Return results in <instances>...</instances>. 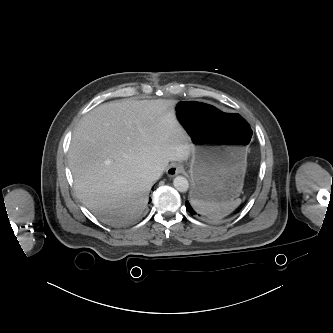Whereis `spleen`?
Segmentation results:
<instances>
[{
  "mask_svg": "<svg viewBox=\"0 0 333 333\" xmlns=\"http://www.w3.org/2000/svg\"><path fill=\"white\" fill-rule=\"evenodd\" d=\"M190 202L199 214L211 219H221L233 212L241 204L242 200L238 198L231 202L217 203L192 198Z\"/></svg>",
  "mask_w": 333,
  "mask_h": 333,
  "instance_id": "spleen-1",
  "label": "spleen"
}]
</instances>
